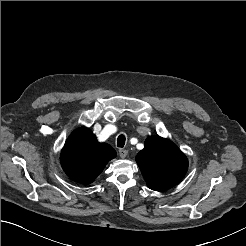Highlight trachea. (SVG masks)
<instances>
[{
    "label": "trachea",
    "mask_w": 246,
    "mask_h": 246,
    "mask_svg": "<svg viewBox=\"0 0 246 246\" xmlns=\"http://www.w3.org/2000/svg\"><path fill=\"white\" fill-rule=\"evenodd\" d=\"M125 141H126V138L124 135H119L118 138H117V147H121L123 148L124 145H125Z\"/></svg>",
    "instance_id": "3493384b"
}]
</instances>
